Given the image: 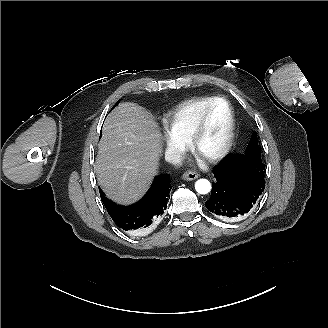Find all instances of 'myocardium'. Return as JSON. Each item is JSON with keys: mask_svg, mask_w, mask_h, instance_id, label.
Listing matches in <instances>:
<instances>
[{"mask_svg": "<svg viewBox=\"0 0 328 328\" xmlns=\"http://www.w3.org/2000/svg\"><path fill=\"white\" fill-rule=\"evenodd\" d=\"M218 103H224L229 111V126L227 130L226 138L223 145L216 152L208 155L202 154L200 152L199 146H200V141L206 129L207 118L210 111ZM235 135H236V116H235L233 105L229 100H227L224 97H215L211 103H209L206 107L202 109L197 121L195 122V125L193 126V129L191 131V134L189 136L186 145L189 146L190 150L195 155H197L204 161L209 163H215L225 158L231 152L235 141Z\"/></svg>", "mask_w": 328, "mask_h": 328, "instance_id": "obj_1", "label": "myocardium"}]
</instances>
